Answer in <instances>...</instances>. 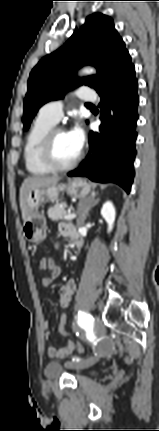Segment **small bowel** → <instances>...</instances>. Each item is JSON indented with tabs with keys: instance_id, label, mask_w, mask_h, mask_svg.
<instances>
[{
	"instance_id": "1",
	"label": "small bowel",
	"mask_w": 159,
	"mask_h": 431,
	"mask_svg": "<svg viewBox=\"0 0 159 431\" xmlns=\"http://www.w3.org/2000/svg\"><path fill=\"white\" fill-rule=\"evenodd\" d=\"M60 231L65 236H71L73 229L69 225H62L60 227ZM46 259L47 258H44L40 261L39 268L41 271L48 270L46 268V263H47ZM54 265L56 267L55 272H53V273L49 272V276L44 277L42 279V284L44 286H49L52 283L51 279L55 280L62 272L61 266L57 265L55 262H54ZM74 293H75V282L73 279H70L63 286H61L59 289V304H60V306L63 308L68 307L72 298H73ZM42 328L45 331V338L48 339L50 336V333L48 330L49 323L47 320H44L42 322ZM67 336H68V334H67ZM70 339L67 341L66 345L61 347V348H56L55 346H49L47 348L48 356L52 357V358L61 359V358H65V357L69 356L70 354L75 352V350H78V347H76V345H75L76 342L73 343V342H71Z\"/></svg>"
}]
</instances>
